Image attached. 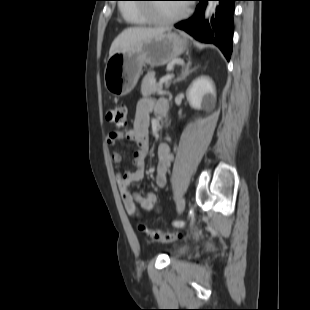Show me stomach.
Wrapping results in <instances>:
<instances>
[{"instance_id": "stomach-1", "label": "stomach", "mask_w": 310, "mask_h": 310, "mask_svg": "<svg viewBox=\"0 0 310 310\" xmlns=\"http://www.w3.org/2000/svg\"><path fill=\"white\" fill-rule=\"evenodd\" d=\"M187 42L177 33H162L128 52H117L108 58L104 71V83L109 93L121 97L130 93L142 73L145 64L165 65L180 56Z\"/></svg>"}]
</instances>
